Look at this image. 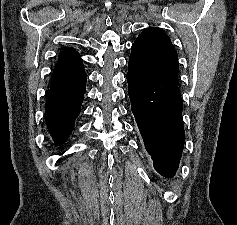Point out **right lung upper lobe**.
Wrapping results in <instances>:
<instances>
[{"label": "right lung upper lobe", "instance_id": "obj_1", "mask_svg": "<svg viewBox=\"0 0 237 225\" xmlns=\"http://www.w3.org/2000/svg\"><path fill=\"white\" fill-rule=\"evenodd\" d=\"M87 80L82 59L73 48H64L54 67L50 87H71Z\"/></svg>", "mask_w": 237, "mask_h": 225}]
</instances>
